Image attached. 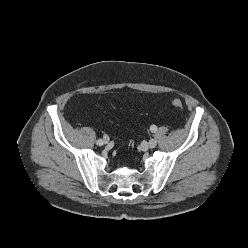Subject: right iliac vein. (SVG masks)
<instances>
[{"mask_svg":"<svg viewBox=\"0 0 248 248\" xmlns=\"http://www.w3.org/2000/svg\"><path fill=\"white\" fill-rule=\"evenodd\" d=\"M102 141H103L102 145H104V144H107L109 140L108 139H102Z\"/></svg>","mask_w":248,"mask_h":248,"instance_id":"1","label":"right iliac vein"}]
</instances>
